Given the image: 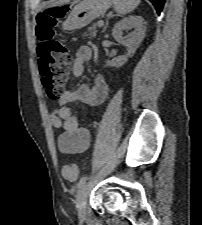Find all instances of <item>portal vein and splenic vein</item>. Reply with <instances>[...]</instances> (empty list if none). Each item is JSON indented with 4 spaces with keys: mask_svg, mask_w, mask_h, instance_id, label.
Instances as JSON below:
<instances>
[{
    "mask_svg": "<svg viewBox=\"0 0 202 225\" xmlns=\"http://www.w3.org/2000/svg\"><path fill=\"white\" fill-rule=\"evenodd\" d=\"M103 25H104V21L103 20L98 21V23H97L98 27H102Z\"/></svg>",
    "mask_w": 202,
    "mask_h": 225,
    "instance_id": "portal-vein-and-splenic-vein-1",
    "label": "portal vein and splenic vein"
}]
</instances>
